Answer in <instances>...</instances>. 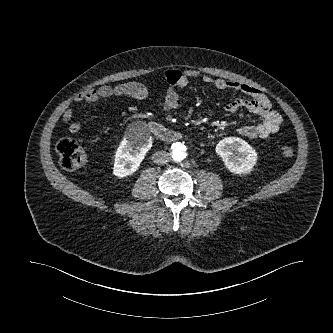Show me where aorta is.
<instances>
[{
	"instance_id": "762f6f07",
	"label": "aorta",
	"mask_w": 333,
	"mask_h": 333,
	"mask_svg": "<svg viewBox=\"0 0 333 333\" xmlns=\"http://www.w3.org/2000/svg\"><path fill=\"white\" fill-rule=\"evenodd\" d=\"M186 146L183 143H175L172 145V156L177 161H182L186 158Z\"/></svg>"
}]
</instances>
